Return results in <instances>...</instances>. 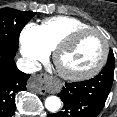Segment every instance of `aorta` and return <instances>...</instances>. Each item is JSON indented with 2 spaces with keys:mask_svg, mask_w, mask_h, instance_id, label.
I'll return each instance as SVG.
<instances>
[{
  "mask_svg": "<svg viewBox=\"0 0 117 117\" xmlns=\"http://www.w3.org/2000/svg\"><path fill=\"white\" fill-rule=\"evenodd\" d=\"M45 107L50 112H57L61 107V100L57 96H49L45 100Z\"/></svg>",
  "mask_w": 117,
  "mask_h": 117,
  "instance_id": "1",
  "label": "aorta"
}]
</instances>
